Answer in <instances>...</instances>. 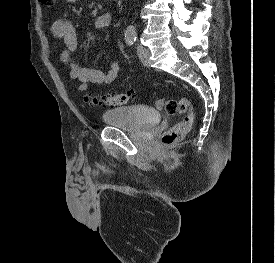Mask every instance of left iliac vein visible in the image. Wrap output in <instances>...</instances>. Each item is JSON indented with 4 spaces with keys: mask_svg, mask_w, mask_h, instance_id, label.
<instances>
[{
    "mask_svg": "<svg viewBox=\"0 0 275 263\" xmlns=\"http://www.w3.org/2000/svg\"><path fill=\"white\" fill-rule=\"evenodd\" d=\"M137 53H138V57L140 59V61L142 62V64L146 67L149 66L150 61H149V57H150V52L149 50L144 47L143 45L139 44L137 46Z\"/></svg>",
    "mask_w": 275,
    "mask_h": 263,
    "instance_id": "obj_1",
    "label": "left iliac vein"
}]
</instances>
